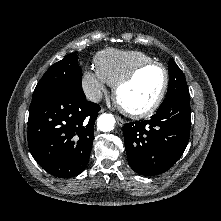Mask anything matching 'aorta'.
Masks as SVG:
<instances>
[{"label": "aorta", "instance_id": "1", "mask_svg": "<svg viewBox=\"0 0 221 221\" xmlns=\"http://www.w3.org/2000/svg\"><path fill=\"white\" fill-rule=\"evenodd\" d=\"M115 118L112 114L103 113L99 116L97 127L100 131L110 132L114 129Z\"/></svg>", "mask_w": 221, "mask_h": 221}]
</instances>
